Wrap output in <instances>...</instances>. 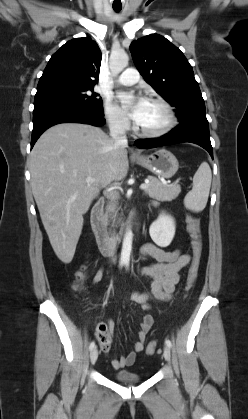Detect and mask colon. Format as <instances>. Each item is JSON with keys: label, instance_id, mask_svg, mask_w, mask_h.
<instances>
[{"label": "colon", "instance_id": "1", "mask_svg": "<svg viewBox=\"0 0 248 419\" xmlns=\"http://www.w3.org/2000/svg\"><path fill=\"white\" fill-rule=\"evenodd\" d=\"M186 222H187V230L192 238V250H193V258L189 267L186 284H185V290L186 292H189L193 289L197 280L198 270H199L201 256H202L203 241H202L200 222L198 218L192 215H187ZM86 278H87L86 268L82 267L76 273L75 281L73 285L74 290L78 292L81 291L83 283L86 280ZM95 336L99 343H105L110 339V337L112 336V333L106 325H99L95 332ZM157 347H158V344L156 341L150 342L147 345V353L150 355L156 353Z\"/></svg>", "mask_w": 248, "mask_h": 419}]
</instances>
